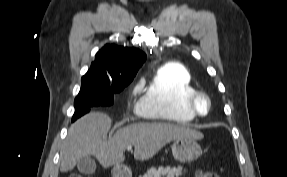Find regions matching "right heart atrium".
Instances as JSON below:
<instances>
[{"mask_svg":"<svg viewBox=\"0 0 287 177\" xmlns=\"http://www.w3.org/2000/svg\"><path fill=\"white\" fill-rule=\"evenodd\" d=\"M140 87H141V84H140V83H138L137 85H135V87L133 88L132 94H133V95H136V94L140 91Z\"/></svg>","mask_w":287,"mask_h":177,"instance_id":"right-heart-atrium-1","label":"right heart atrium"}]
</instances>
